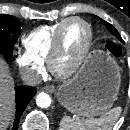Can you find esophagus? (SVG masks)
<instances>
[{"mask_svg": "<svg viewBox=\"0 0 130 130\" xmlns=\"http://www.w3.org/2000/svg\"><path fill=\"white\" fill-rule=\"evenodd\" d=\"M44 90L50 93H54L56 91V88L54 85H48L44 87Z\"/></svg>", "mask_w": 130, "mask_h": 130, "instance_id": "1", "label": "esophagus"}]
</instances>
